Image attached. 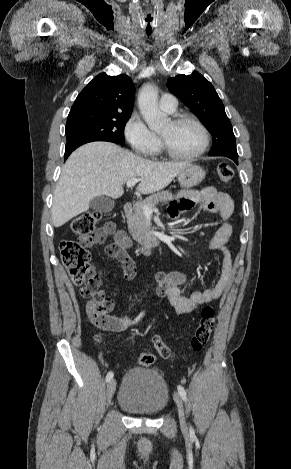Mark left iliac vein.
<instances>
[{"label": "left iliac vein", "instance_id": "left-iliac-vein-1", "mask_svg": "<svg viewBox=\"0 0 291 469\" xmlns=\"http://www.w3.org/2000/svg\"><path fill=\"white\" fill-rule=\"evenodd\" d=\"M173 397H174V401L177 405L179 421H180L181 427L186 428V426H187V424H186V415H185V410H184L182 399H181L180 395L177 392L174 393Z\"/></svg>", "mask_w": 291, "mask_h": 469}]
</instances>
